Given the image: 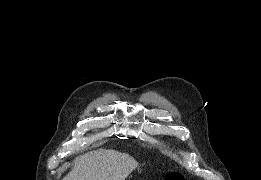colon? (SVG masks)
<instances>
[{"mask_svg": "<svg viewBox=\"0 0 261 180\" xmlns=\"http://www.w3.org/2000/svg\"><path fill=\"white\" fill-rule=\"evenodd\" d=\"M166 180H186V177L179 172H171L166 176Z\"/></svg>", "mask_w": 261, "mask_h": 180, "instance_id": "1", "label": "colon"}]
</instances>
